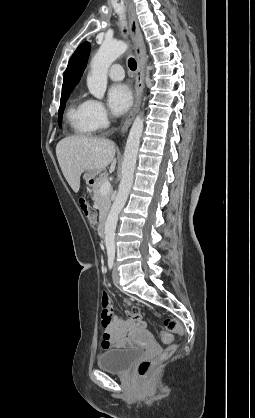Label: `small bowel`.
<instances>
[{"label":"small bowel","instance_id":"obj_1","mask_svg":"<svg viewBox=\"0 0 255 418\" xmlns=\"http://www.w3.org/2000/svg\"><path fill=\"white\" fill-rule=\"evenodd\" d=\"M102 326L104 328L101 345L103 349L125 348L134 343L137 338L148 337L142 315L136 308L128 311V319L113 317L111 320L112 307L106 293L102 295ZM130 305L129 302H126Z\"/></svg>","mask_w":255,"mask_h":418}]
</instances>
